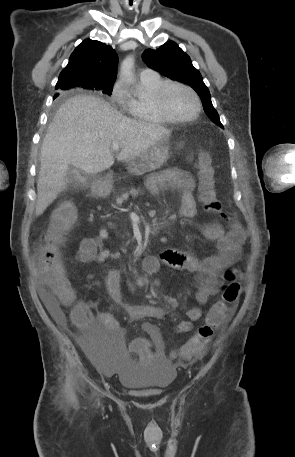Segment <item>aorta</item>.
I'll return each mask as SVG.
<instances>
[{
    "mask_svg": "<svg viewBox=\"0 0 295 457\" xmlns=\"http://www.w3.org/2000/svg\"><path fill=\"white\" fill-rule=\"evenodd\" d=\"M134 57L133 56H127L122 64H121V70H120V75L123 80L126 82L130 83L132 81V69L134 67Z\"/></svg>",
    "mask_w": 295,
    "mask_h": 457,
    "instance_id": "obj_1",
    "label": "aorta"
}]
</instances>
